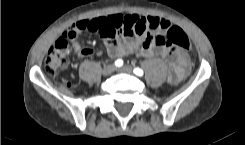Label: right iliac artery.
Listing matches in <instances>:
<instances>
[{"label":"right iliac artery","instance_id":"right-iliac-artery-1","mask_svg":"<svg viewBox=\"0 0 245 145\" xmlns=\"http://www.w3.org/2000/svg\"><path fill=\"white\" fill-rule=\"evenodd\" d=\"M115 65L117 67H121L123 65V61L121 59H118V60L115 61Z\"/></svg>","mask_w":245,"mask_h":145}]
</instances>
